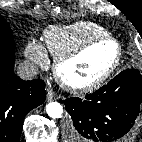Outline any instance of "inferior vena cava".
<instances>
[{"mask_svg":"<svg viewBox=\"0 0 142 142\" xmlns=\"http://www.w3.org/2000/svg\"><path fill=\"white\" fill-rule=\"evenodd\" d=\"M17 74L23 80H32L38 74V67L32 62L23 61L18 65Z\"/></svg>","mask_w":142,"mask_h":142,"instance_id":"inferior-vena-cava-1","label":"inferior vena cava"}]
</instances>
